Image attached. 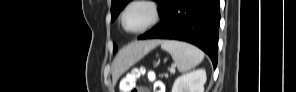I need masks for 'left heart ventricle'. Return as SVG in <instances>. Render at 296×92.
Segmentation results:
<instances>
[{"instance_id": "obj_1", "label": "left heart ventricle", "mask_w": 296, "mask_h": 92, "mask_svg": "<svg viewBox=\"0 0 296 92\" xmlns=\"http://www.w3.org/2000/svg\"><path fill=\"white\" fill-rule=\"evenodd\" d=\"M151 19V12L144 5H134L126 13L125 25L129 30L144 27Z\"/></svg>"}]
</instances>
